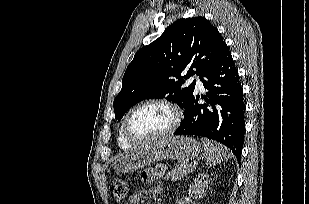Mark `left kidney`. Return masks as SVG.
I'll use <instances>...</instances> for the list:
<instances>
[{
  "mask_svg": "<svg viewBox=\"0 0 309 204\" xmlns=\"http://www.w3.org/2000/svg\"><path fill=\"white\" fill-rule=\"evenodd\" d=\"M210 183L209 175L201 174L190 185L188 194L192 198H203Z\"/></svg>",
  "mask_w": 309,
  "mask_h": 204,
  "instance_id": "obj_1",
  "label": "left kidney"
}]
</instances>
